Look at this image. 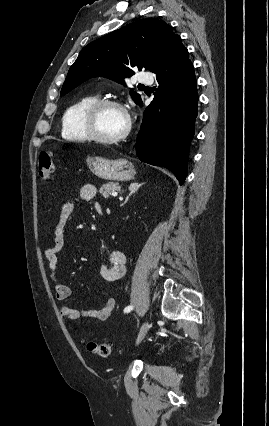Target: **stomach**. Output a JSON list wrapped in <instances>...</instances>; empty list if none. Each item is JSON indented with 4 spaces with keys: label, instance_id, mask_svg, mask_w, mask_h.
<instances>
[{
    "label": "stomach",
    "instance_id": "0dacf381",
    "mask_svg": "<svg viewBox=\"0 0 269 426\" xmlns=\"http://www.w3.org/2000/svg\"><path fill=\"white\" fill-rule=\"evenodd\" d=\"M87 164L94 175L105 180L128 181L136 174L133 163L124 158L108 160L98 156H88Z\"/></svg>",
    "mask_w": 269,
    "mask_h": 426
}]
</instances>
